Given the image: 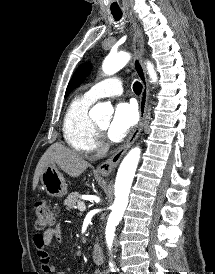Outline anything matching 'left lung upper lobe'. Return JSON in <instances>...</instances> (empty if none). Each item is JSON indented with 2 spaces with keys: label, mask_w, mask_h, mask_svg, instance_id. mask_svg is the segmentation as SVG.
Returning <instances> with one entry per match:
<instances>
[{
  "label": "left lung upper lobe",
  "mask_w": 215,
  "mask_h": 274,
  "mask_svg": "<svg viewBox=\"0 0 215 274\" xmlns=\"http://www.w3.org/2000/svg\"><path fill=\"white\" fill-rule=\"evenodd\" d=\"M90 72H91L90 63H85L78 67V69L74 73L72 79L70 80L67 86V89L65 92V98L69 95L71 91L77 88L85 80V78L90 74Z\"/></svg>",
  "instance_id": "left-lung-upper-lobe-1"
}]
</instances>
